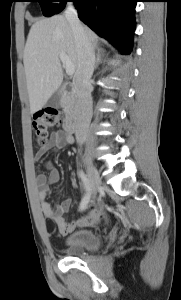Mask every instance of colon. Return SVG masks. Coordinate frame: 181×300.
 <instances>
[{
    "mask_svg": "<svg viewBox=\"0 0 181 300\" xmlns=\"http://www.w3.org/2000/svg\"><path fill=\"white\" fill-rule=\"evenodd\" d=\"M60 122V114L55 108H45L35 112L32 117V126L37 142L44 145L47 142L49 129L59 125Z\"/></svg>",
    "mask_w": 181,
    "mask_h": 300,
    "instance_id": "1",
    "label": "colon"
}]
</instances>
